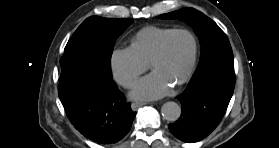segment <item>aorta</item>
I'll return each instance as SVG.
<instances>
[{"mask_svg":"<svg viewBox=\"0 0 279 148\" xmlns=\"http://www.w3.org/2000/svg\"><path fill=\"white\" fill-rule=\"evenodd\" d=\"M161 113L167 121L175 122L181 115V107L173 101H169L163 104Z\"/></svg>","mask_w":279,"mask_h":148,"instance_id":"obj_1","label":"aorta"}]
</instances>
